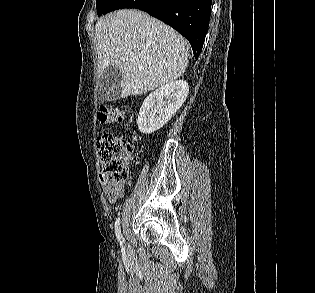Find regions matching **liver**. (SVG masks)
<instances>
[{"label": "liver", "instance_id": "1", "mask_svg": "<svg viewBox=\"0 0 315 293\" xmlns=\"http://www.w3.org/2000/svg\"><path fill=\"white\" fill-rule=\"evenodd\" d=\"M95 41L98 75L117 66L122 73L121 98L175 81L188 64L187 40L142 11L122 9L98 20Z\"/></svg>", "mask_w": 315, "mask_h": 293}]
</instances>
